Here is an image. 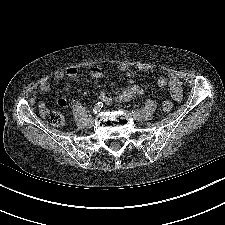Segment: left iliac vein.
<instances>
[{
	"label": "left iliac vein",
	"mask_w": 225,
	"mask_h": 225,
	"mask_svg": "<svg viewBox=\"0 0 225 225\" xmlns=\"http://www.w3.org/2000/svg\"><path fill=\"white\" fill-rule=\"evenodd\" d=\"M135 121L141 122L144 118L142 114H138L136 112L126 111Z\"/></svg>",
	"instance_id": "4c4485c4"
}]
</instances>
